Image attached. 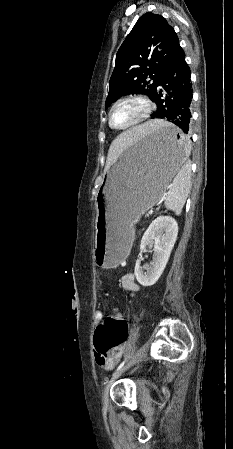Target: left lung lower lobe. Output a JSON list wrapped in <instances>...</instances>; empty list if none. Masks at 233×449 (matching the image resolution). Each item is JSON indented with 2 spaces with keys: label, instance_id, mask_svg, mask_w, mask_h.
Returning a JSON list of instances; mask_svg holds the SVG:
<instances>
[{
  "label": "left lung lower lobe",
  "instance_id": "1",
  "mask_svg": "<svg viewBox=\"0 0 233 449\" xmlns=\"http://www.w3.org/2000/svg\"><path fill=\"white\" fill-rule=\"evenodd\" d=\"M158 86H162L165 94ZM192 91L191 72L182 49L162 72L152 97L157 104V111L152 114V118L165 119L182 130L181 135H160L161 142L171 149H182L189 143L187 135L191 127Z\"/></svg>",
  "mask_w": 233,
  "mask_h": 449
}]
</instances>
